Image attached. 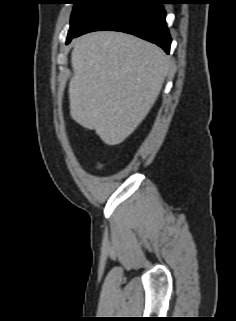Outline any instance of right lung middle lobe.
<instances>
[{
	"label": "right lung middle lobe",
	"instance_id": "obj_1",
	"mask_svg": "<svg viewBox=\"0 0 236 321\" xmlns=\"http://www.w3.org/2000/svg\"><path fill=\"white\" fill-rule=\"evenodd\" d=\"M106 2H108V0H73L74 8L67 40H70L87 20Z\"/></svg>",
	"mask_w": 236,
	"mask_h": 321
}]
</instances>
